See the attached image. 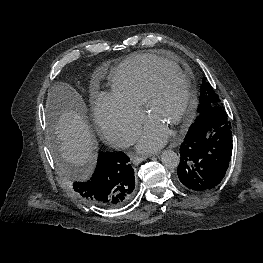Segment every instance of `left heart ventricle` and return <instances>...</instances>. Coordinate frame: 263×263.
<instances>
[{
	"label": "left heart ventricle",
	"mask_w": 263,
	"mask_h": 263,
	"mask_svg": "<svg viewBox=\"0 0 263 263\" xmlns=\"http://www.w3.org/2000/svg\"><path fill=\"white\" fill-rule=\"evenodd\" d=\"M185 102V84L174 76H165L157 87L149 118L159 123L167 131H172L184 109Z\"/></svg>",
	"instance_id": "b2bd125f"
}]
</instances>
